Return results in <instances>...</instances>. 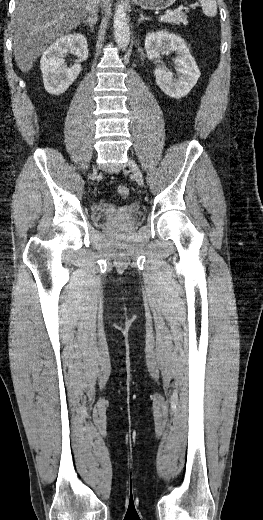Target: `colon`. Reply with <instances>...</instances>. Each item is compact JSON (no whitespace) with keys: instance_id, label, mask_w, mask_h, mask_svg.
<instances>
[{"instance_id":"colon-1","label":"colon","mask_w":263,"mask_h":520,"mask_svg":"<svg viewBox=\"0 0 263 520\" xmlns=\"http://www.w3.org/2000/svg\"><path fill=\"white\" fill-rule=\"evenodd\" d=\"M117 195L121 199H125L129 195V189L127 186L121 185L117 188Z\"/></svg>"}]
</instances>
